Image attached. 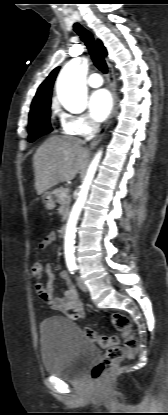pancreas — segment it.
<instances>
[{
  "label": "pancreas",
  "mask_w": 168,
  "mask_h": 415,
  "mask_svg": "<svg viewBox=\"0 0 168 415\" xmlns=\"http://www.w3.org/2000/svg\"><path fill=\"white\" fill-rule=\"evenodd\" d=\"M63 192L67 193L68 190L64 187H60V188H57L53 191V195L56 199V202H58L60 205H63L65 207V215L62 218V220H65L66 217H67L68 211H69V205H70V202H71V198L68 195L66 197L62 198L61 193H63Z\"/></svg>",
  "instance_id": "pancreas-1"
}]
</instances>
